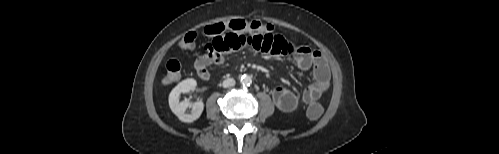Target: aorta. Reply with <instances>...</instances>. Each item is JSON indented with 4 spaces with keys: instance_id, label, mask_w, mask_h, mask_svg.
I'll list each match as a JSON object with an SVG mask.
<instances>
[{
    "instance_id": "aorta-1",
    "label": "aorta",
    "mask_w": 499,
    "mask_h": 154,
    "mask_svg": "<svg viewBox=\"0 0 499 154\" xmlns=\"http://www.w3.org/2000/svg\"><path fill=\"white\" fill-rule=\"evenodd\" d=\"M240 82L243 86H249L252 83V78L251 76L244 74L241 76Z\"/></svg>"
}]
</instances>
